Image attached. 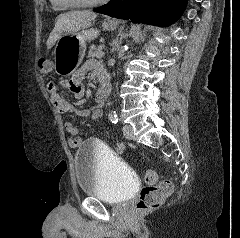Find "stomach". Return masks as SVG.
I'll return each mask as SVG.
<instances>
[{
  "instance_id": "1",
  "label": "stomach",
  "mask_w": 240,
  "mask_h": 238,
  "mask_svg": "<svg viewBox=\"0 0 240 238\" xmlns=\"http://www.w3.org/2000/svg\"><path fill=\"white\" fill-rule=\"evenodd\" d=\"M118 25L117 20L107 19L102 27L104 30L113 31ZM98 35L99 31L93 28L62 35L54 49L55 72L60 76H70L83 60L86 42L96 39Z\"/></svg>"
}]
</instances>
